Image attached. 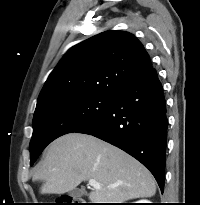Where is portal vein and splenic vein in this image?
I'll return each mask as SVG.
<instances>
[{
	"instance_id": "obj_1",
	"label": "portal vein and splenic vein",
	"mask_w": 200,
	"mask_h": 205,
	"mask_svg": "<svg viewBox=\"0 0 200 205\" xmlns=\"http://www.w3.org/2000/svg\"><path fill=\"white\" fill-rule=\"evenodd\" d=\"M88 184L90 186H92L94 189H101L102 188L101 184L98 183L96 180H93V179L89 180Z\"/></svg>"
}]
</instances>
